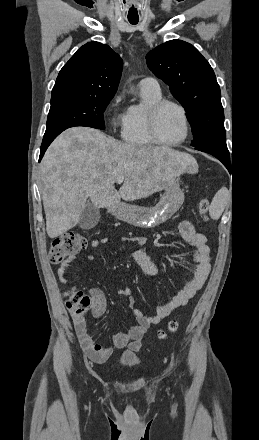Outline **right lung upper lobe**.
Wrapping results in <instances>:
<instances>
[{
	"instance_id": "right-lung-upper-lobe-1",
	"label": "right lung upper lobe",
	"mask_w": 259,
	"mask_h": 440,
	"mask_svg": "<svg viewBox=\"0 0 259 440\" xmlns=\"http://www.w3.org/2000/svg\"><path fill=\"white\" fill-rule=\"evenodd\" d=\"M122 66V59L109 46L89 42L80 47L63 66L52 89V96L64 93L114 96Z\"/></svg>"
}]
</instances>
